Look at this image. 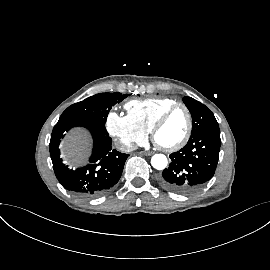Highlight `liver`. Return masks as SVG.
<instances>
[{"label": "liver", "instance_id": "6515ba94", "mask_svg": "<svg viewBox=\"0 0 270 270\" xmlns=\"http://www.w3.org/2000/svg\"><path fill=\"white\" fill-rule=\"evenodd\" d=\"M90 143V136L85 130L74 129L70 131L61 144L63 157L72 163H83L88 153Z\"/></svg>", "mask_w": 270, "mask_h": 270}]
</instances>
